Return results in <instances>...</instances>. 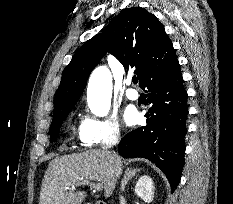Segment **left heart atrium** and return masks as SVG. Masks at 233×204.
I'll return each instance as SVG.
<instances>
[{
	"instance_id": "39dd6f15",
	"label": "left heart atrium",
	"mask_w": 233,
	"mask_h": 204,
	"mask_svg": "<svg viewBox=\"0 0 233 204\" xmlns=\"http://www.w3.org/2000/svg\"><path fill=\"white\" fill-rule=\"evenodd\" d=\"M123 117L127 125H133L138 121L139 115L133 107H128L125 109Z\"/></svg>"
}]
</instances>
